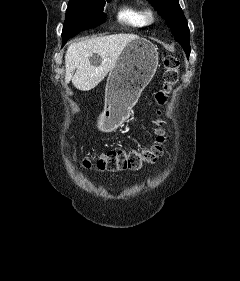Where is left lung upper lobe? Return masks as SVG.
Segmentation results:
<instances>
[{
	"label": "left lung upper lobe",
	"mask_w": 240,
	"mask_h": 281,
	"mask_svg": "<svg viewBox=\"0 0 240 281\" xmlns=\"http://www.w3.org/2000/svg\"><path fill=\"white\" fill-rule=\"evenodd\" d=\"M158 11L171 28L175 40L183 47L187 57L190 55V31L178 0H147Z\"/></svg>",
	"instance_id": "left-lung-upper-lobe-1"
}]
</instances>
